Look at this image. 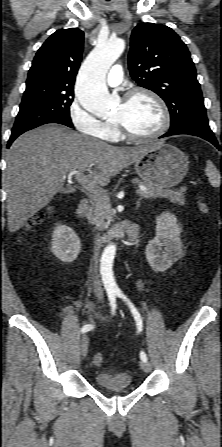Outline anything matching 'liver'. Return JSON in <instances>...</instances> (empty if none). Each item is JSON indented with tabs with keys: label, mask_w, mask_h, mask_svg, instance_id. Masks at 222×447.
I'll return each mask as SVG.
<instances>
[{
	"label": "liver",
	"mask_w": 222,
	"mask_h": 447,
	"mask_svg": "<svg viewBox=\"0 0 222 447\" xmlns=\"http://www.w3.org/2000/svg\"><path fill=\"white\" fill-rule=\"evenodd\" d=\"M146 146L114 147L56 124L22 134L7 152L3 178L9 231L16 232L47 206L71 172H79L76 179L105 186L112 176L141 157ZM84 171L89 174L83 175Z\"/></svg>",
	"instance_id": "6515ba94"
}]
</instances>
